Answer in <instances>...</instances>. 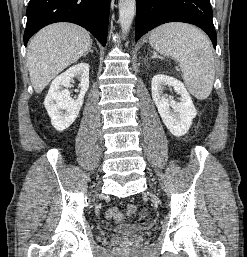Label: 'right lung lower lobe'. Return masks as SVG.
I'll list each match as a JSON object with an SVG mask.
<instances>
[{"mask_svg":"<svg viewBox=\"0 0 247 257\" xmlns=\"http://www.w3.org/2000/svg\"><path fill=\"white\" fill-rule=\"evenodd\" d=\"M110 0H30L24 44L44 26L55 22H71L91 32L105 46Z\"/></svg>","mask_w":247,"mask_h":257,"instance_id":"98d812e1","label":"right lung lower lobe"}]
</instances>
